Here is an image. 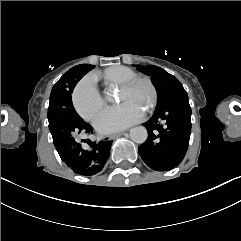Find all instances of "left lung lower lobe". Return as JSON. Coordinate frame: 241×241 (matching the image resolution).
<instances>
[{
    "mask_svg": "<svg viewBox=\"0 0 241 241\" xmlns=\"http://www.w3.org/2000/svg\"><path fill=\"white\" fill-rule=\"evenodd\" d=\"M163 121L165 126L160 125ZM147 140L139 154L150 168L168 171L184 158L191 134V108L187 93L176 94L160 105L144 123Z\"/></svg>",
    "mask_w": 241,
    "mask_h": 241,
    "instance_id": "left-lung-lower-lobe-1",
    "label": "left lung lower lobe"
}]
</instances>
